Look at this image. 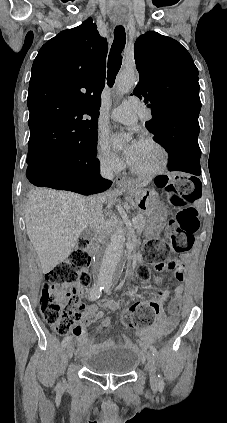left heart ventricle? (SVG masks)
I'll return each mask as SVG.
<instances>
[{
	"mask_svg": "<svg viewBox=\"0 0 227 423\" xmlns=\"http://www.w3.org/2000/svg\"><path fill=\"white\" fill-rule=\"evenodd\" d=\"M161 161V153L155 146L147 143H140L136 149L132 165L141 171L154 169Z\"/></svg>",
	"mask_w": 227,
	"mask_h": 423,
	"instance_id": "obj_1",
	"label": "left heart ventricle"
}]
</instances>
